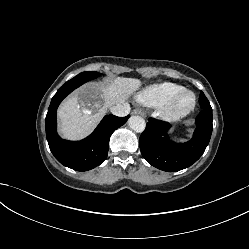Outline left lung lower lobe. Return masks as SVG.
<instances>
[{
    "mask_svg": "<svg viewBox=\"0 0 249 249\" xmlns=\"http://www.w3.org/2000/svg\"><path fill=\"white\" fill-rule=\"evenodd\" d=\"M199 103L202 111L196 117L193 138L186 143L172 142L167 136L170 125L149 118L139 140L142 156L149 164L163 171L175 172L191 166L201 157L210 141L213 126L212 108L203 92Z\"/></svg>",
    "mask_w": 249,
    "mask_h": 249,
    "instance_id": "0a47b994",
    "label": "left lung lower lobe"
}]
</instances>
